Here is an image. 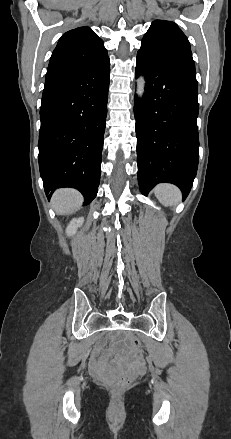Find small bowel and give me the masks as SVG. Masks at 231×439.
Here are the masks:
<instances>
[{
    "instance_id": "small-bowel-1",
    "label": "small bowel",
    "mask_w": 231,
    "mask_h": 439,
    "mask_svg": "<svg viewBox=\"0 0 231 439\" xmlns=\"http://www.w3.org/2000/svg\"><path fill=\"white\" fill-rule=\"evenodd\" d=\"M93 364L96 369H100V365L95 360L93 361Z\"/></svg>"
}]
</instances>
